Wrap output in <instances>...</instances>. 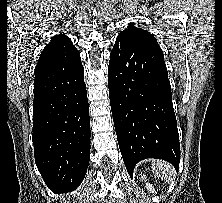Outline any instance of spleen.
<instances>
[{
  "label": "spleen",
  "mask_w": 222,
  "mask_h": 203,
  "mask_svg": "<svg viewBox=\"0 0 222 203\" xmlns=\"http://www.w3.org/2000/svg\"><path fill=\"white\" fill-rule=\"evenodd\" d=\"M152 170L156 177H161L168 184L172 182L174 176V168L171 164L163 160H153Z\"/></svg>",
  "instance_id": "spleen-1"
}]
</instances>
